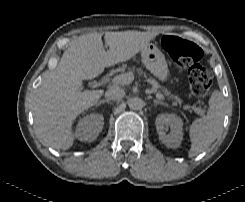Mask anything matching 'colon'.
<instances>
[{
  "label": "colon",
  "mask_w": 245,
  "mask_h": 202,
  "mask_svg": "<svg viewBox=\"0 0 245 202\" xmlns=\"http://www.w3.org/2000/svg\"><path fill=\"white\" fill-rule=\"evenodd\" d=\"M161 47L173 66L187 73L193 95H206L212 86L213 76L208 69L200 65L201 49L190 41L172 35H166L161 39Z\"/></svg>",
  "instance_id": "obj_1"
}]
</instances>
